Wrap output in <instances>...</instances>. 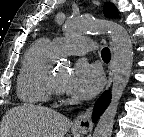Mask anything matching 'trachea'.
<instances>
[{
	"instance_id": "1",
	"label": "trachea",
	"mask_w": 144,
	"mask_h": 137,
	"mask_svg": "<svg viewBox=\"0 0 144 137\" xmlns=\"http://www.w3.org/2000/svg\"><path fill=\"white\" fill-rule=\"evenodd\" d=\"M101 55L104 60H110V50L107 47L103 48Z\"/></svg>"
}]
</instances>
